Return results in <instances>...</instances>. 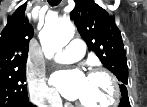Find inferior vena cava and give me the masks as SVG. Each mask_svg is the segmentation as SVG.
<instances>
[{"instance_id":"obj_1","label":"inferior vena cava","mask_w":147,"mask_h":107,"mask_svg":"<svg viewBox=\"0 0 147 107\" xmlns=\"http://www.w3.org/2000/svg\"><path fill=\"white\" fill-rule=\"evenodd\" d=\"M57 107H62V102L59 101L58 106Z\"/></svg>"}]
</instances>
